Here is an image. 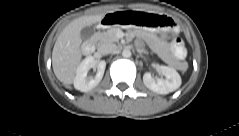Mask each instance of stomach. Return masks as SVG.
Returning a JSON list of instances; mask_svg holds the SVG:
<instances>
[{
  "label": "stomach",
  "instance_id": "1",
  "mask_svg": "<svg viewBox=\"0 0 239 136\" xmlns=\"http://www.w3.org/2000/svg\"><path fill=\"white\" fill-rule=\"evenodd\" d=\"M115 23L118 26L145 28L153 34L166 35L177 33L178 28L172 18L166 15L145 14L140 12H117Z\"/></svg>",
  "mask_w": 239,
  "mask_h": 136
}]
</instances>
